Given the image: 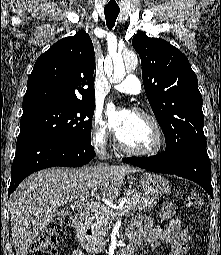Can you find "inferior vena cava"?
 Returning <instances> with one entry per match:
<instances>
[{
    "mask_svg": "<svg viewBox=\"0 0 221 255\" xmlns=\"http://www.w3.org/2000/svg\"><path fill=\"white\" fill-rule=\"evenodd\" d=\"M99 158L101 160L106 159V149L104 147H101V149L98 151ZM101 165H107L106 163H102Z\"/></svg>",
    "mask_w": 221,
    "mask_h": 255,
    "instance_id": "1",
    "label": "inferior vena cava"
}]
</instances>
